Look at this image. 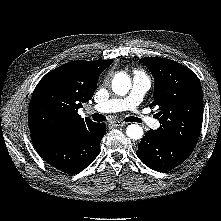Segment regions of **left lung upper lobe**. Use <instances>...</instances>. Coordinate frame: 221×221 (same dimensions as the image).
I'll list each match as a JSON object with an SVG mask.
<instances>
[{
    "label": "left lung upper lobe",
    "instance_id": "obj_1",
    "mask_svg": "<svg viewBox=\"0 0 221 221\" xmlns=\"http://www.w3.org/2000/svg\"><path fill=\"white\" fill-rule=\"evenodd\" d=\"M155 79L154 101L160 128L159 138L194 149L202 126L203 93L198 77L173 60L145 57L140 60Z\"/></svg>",
    "mask_w": 221,
    "mask_h": 221
}]
</instances>
